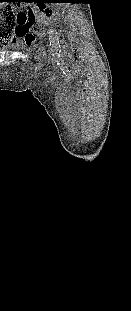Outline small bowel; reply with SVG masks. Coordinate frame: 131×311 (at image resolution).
I'll return each instance as SVG.
<instances>
[{
  "label": "small bowel",
  "instance_id": "obj_1",
  "mask_svg": "<svg viewBox=\"0 0 131 311\" xmlns=\"http://www.w3.org/2000/svg\"><path fill=\"white\" fill-rule=\"evenodd\" d=\"M26 26L24 24L18 25V27L15 29V32L12 31L10 35H7L10 39H12V45L16 46L19 43L25 44L27 46L33 45L35 42L36 36L33 33L26 32L25 31ZM5 36V35H4Z\"/></svg>",
  "mask_w": 131,
  "mask_h": 311
}]
</instances>
